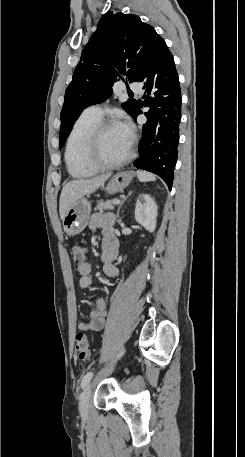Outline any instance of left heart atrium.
Segmentation results:
<instances>
[{
    "label": "left heart atrium",
    "mask_w": 245,
    "mask_h": 457,
    "mask_svg": "<svg viewBox=\"0 0 245 457\" xmlns=\"http://www.w3.org/2000/svg\"><path fill=\"white\" fill-rule=\"evenodd\" d=\"M118 129L121 131V133L129 140L131 141L132 138V127L129 121L123 120L122 122L119 123Z\"/></svg>",
    "instance_id": "left-heart-atrium-1"
}]
</instances>
